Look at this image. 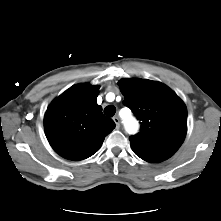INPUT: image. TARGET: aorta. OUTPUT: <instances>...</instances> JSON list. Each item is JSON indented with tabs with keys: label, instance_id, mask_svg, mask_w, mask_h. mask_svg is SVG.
Instances as JSON below:
<instances>
[{
	"label": "aorta",
	"instance_id": "obj_1",
	"mask_svg": "<svg viewBox=\"0 0 221 221\" xmlns=\"http://www.w3.org/2000/svg\"><path fill=\"white\" fill-rule=\"evenodd\" d=\"M125 123H126L125 124L126 128L130 133L136 131V129L138 127L136 120H134L132 118H127Z\"/></svg>",
	"mask_w": 221,
	"mask_h": 221
}]
</instances>
